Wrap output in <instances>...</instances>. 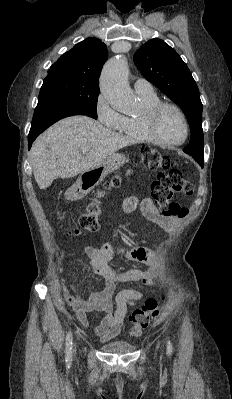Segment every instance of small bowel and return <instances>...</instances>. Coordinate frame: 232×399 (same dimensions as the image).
<instances>
[{
    "label": "small bowel",
    "mask_w": 232,
    "mask_h": 399,
    "mask_svg": "<svg viewBox=\"0 0 232 399\" xmlns=\"http://www.w3.org/2000/svg\"><path fill=\"white\" fill-rule=\"evenodd\" d=\"M138 207L146 215L155 216L157 214V207L152 199L141 200L135 194L129 195L124 199V210L131 211ZM87 250L93 258L95 272L102 278V288L88 298H83L76 283L60 278L61 297L82 328H86L88 325L86 317L88 311L94 310L103 315L94 331L97 341L106 343L123 330L128 307L135 306L145 295H152L157 291L162 283L158 270L160 262L151 251L129 243L107 242L100 249L88 247ZM115 255L123 259L147 263L155 268L156 272L154 275H147L138 270H132L125 274H116L108 264L109 260ZM148 282H153L155 285L146 290H124L115 294L118 285H142ZM114 299L117 302L115 316L111 314V305Z\"/></svg>",
    "instance_id": "c3829d8e"
}]
</instances>
